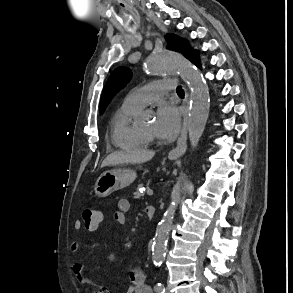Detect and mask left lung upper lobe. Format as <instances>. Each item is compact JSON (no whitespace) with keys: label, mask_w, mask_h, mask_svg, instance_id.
<instances>
[{"label":"left lung upper lobe","mask_w":293,"mask_h":293,"mask_svg":"<svg viewBox=\"0 0 293 293\" xmlns=\"http://www.w3.org/2000/svg\"><path fill=\"white\" fill-rule=\"evenodd\" d=\"M165 39L168 42V48L176 50L186 56L188 59H192L197 51L192 49L186 39L180 38L174 34H167ZM131 78V71L125 67H119L115 69L109 76L100 101V112H103L111 101L112 97L121 90Z\"/></svg>","instance_id":"1"}]
</instances>
